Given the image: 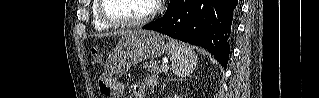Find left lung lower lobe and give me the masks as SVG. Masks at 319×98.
Listing matches in <instances>:
<instances>
[{
	"label": "left lung lower lobe",
	"instance_id": "1",
	"mask_svg": "<svg viewBox=\"0 0 319 98\" xmlns=\"http://www.w3.org/2000/svg\"><path fill=\"white\" fill-rule=\"evenodd\" d=\"M237 5L238 0H170L164 16L143 29L204 47L226 68Z\"/></svg>",
	"mask_w": 319,
	"mask_h": 98
}]
</instances>
